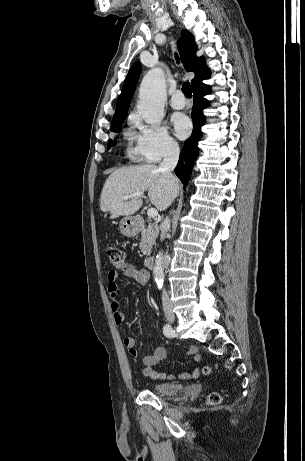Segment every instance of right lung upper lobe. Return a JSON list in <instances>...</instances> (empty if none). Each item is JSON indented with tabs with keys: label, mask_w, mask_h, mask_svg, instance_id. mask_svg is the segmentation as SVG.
Segmentation results:
<instances>
[{
	"label": "right lung upper lobe",
	"mask_w": 305,
	"mask_h": 461,
	"mask_svg": "<svg viewBox=\"0 0 305 461\" xmlns=\"http://www.w3.org/2000/svg\"><path fill=\"white\" fill-rule=\"evenodd\" d=\"M177 45L185 70L195 73V77L191 81L192 87L210 76V70L204 67V58L196 56L197 45L193 35L189 31L183 30L181 32V37L177 41ZM140 73V62H136L130 68L125 79L121 94L117 100L116 111L112 123L125 120Z\"/></svg>",
	"instance_id": "right-lung-upper-lobe-1"
}]
</instances>
